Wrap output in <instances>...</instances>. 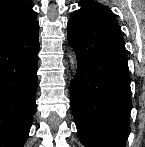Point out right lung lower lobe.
I'll return each mask as SVG.
<instances>
[{"label": "right lung lower lobe", "mask_w": 145, "mask_h": 147, "mask_svg": "<svg viewBox=\"0 0 145 147\" xmlns=\"http://www.w3.org/2000/svg\"><path fill=\"white\" fill-rule=\"evenodd\" d=\"M39 25L0 42V147H23L36 109Z\"/></svg>", "instance_id": "right-lung-lower-lobe-1"}]
</instances>
